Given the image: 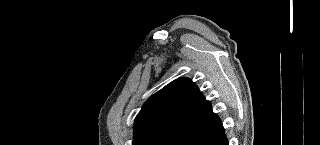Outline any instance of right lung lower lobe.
Wrapping results in <instances>:
<instances>
[{
    "label": "right lung lower lobe",
    "instance_id": "98d812e1",
    "mask_svg": "<svg viewBox=\"0 0 320 145\" xmlns=\"http://www.w3.org/2000/svg\"><path fill=\"white\" fill-rule=\"evenodd\" d=\"M167 145H229L221 120L215 116L176 134Z\"/></svg>",
    "mask_w": 320,
    "mask_h": 145
}]
</instances>
